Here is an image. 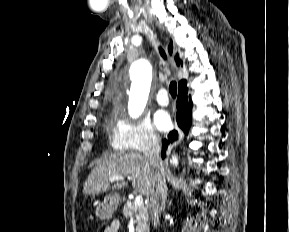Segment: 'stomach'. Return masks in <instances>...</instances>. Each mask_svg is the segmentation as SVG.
<instances>
[{
	"instance_id": "obj_1",
	"label": "stomach",
	"mask_w": 289,
	"mask_h": 232,
	"mask_svg": "<svg viewBox=\"0 0 289 232\" xmlns=\"http://www.w3.org/2000/svg\"><path fill=\"white\" fill-rule=\"evenodd\" d=\"M119 205V197L115 194L108 195L104 201L96 206L95 213L100 219H110Z\"/></svg>"
}]
</instances>
